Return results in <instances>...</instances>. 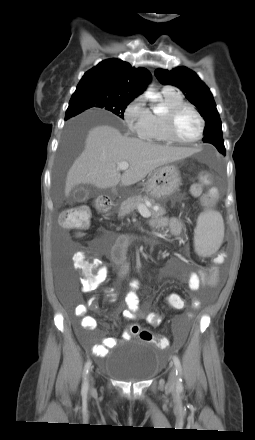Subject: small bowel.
Here are the masks:
<instances>
[{
    "instance_id": "c3829d8e",
    "label": "small bowel",
    "mask_w": 255,
    "mask_h": 440,
    "mask_svg": "<svg viewBox=\"0 0 255 440\" xmlns=\"http://www.w3.org/2000/svg\"><path fill=\"white\" fill-rule=\"evenodd\" d=\"M151 226L156 229H162L168 227L170 233L174 237H179L183 231V223L177 218L173 217L171 219H167L165 217H158L151 221ZM138 239L131 235L122 234L117 236L115 243L112 247L110 259L117 268L118 274L122 279L128 277L129 274V264L126 259L127 249L129 245ZM147 243H155L153 239H145ZM221 256L218 255L217 258ZM95 264L100 267L98 277L96 279V284L101 283L107 278V269L104 265L100 264V262L96 261ZM188 288L191 292L197 291L205 286H216L219 281V272L217 267L214 265L210 268L209 272L205 269L200 268L198 271L190 272L187 276ZM139 281L134 279L129 283V291L126 293L124 301L126 304V309L123 311V316L128 321H133L137 317H142L146 320L147 323L153 326H158L162 322V317L157 312H149L145 314L140 313V298L137 294V290L139 289ZM95 288V287H94ZM93 288V289H94ZM91 289V290H93ZM84 292H89L91 290H87L82 287ZM107 293L110 297H114L115 293L112 289H107ZM192 304L194 306L198 305V300L190 295ZM166 298H183L180 294L170 293L166 296ZM88 306L80 304L74 308V315L77 318H80V327L83 331H92L96 328L97 322L96 319L92 316L87 315ZM186 319H191L192 314L186 313L184 316ZM130 338V334L128 332H124L122 339L127 340ZM81 342L88 346V340L80 335ZM181 342V339H179ZM119 343V340L114 337H106L103 339L102 343L91 346V352L98 357H105L109 350L116 346ZM160 347V346H159Z\"/></svg>"
}]
</instances>
